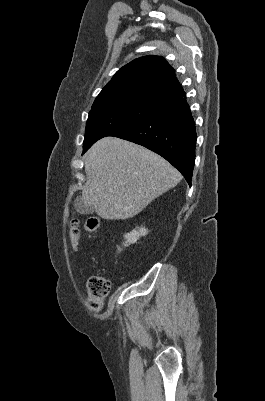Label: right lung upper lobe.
Wrapping results in <instances>:
<instances>
[{"label":"right lung upper lobe","mask_w":265,"mask_h":401,"mask_svg":"<svg viewBox=\"0 0 265 401\" xmlns=\"http://www.w3.org/2000/svg\"><path fill=\"white\" fill-rule=\"evenodd\" d=\"M185 97L175 70L161 56L135 59L115 73L93 106L143 100L165 105Z\"/></svg>","instance_id":"obj_1"}]
</instances>
